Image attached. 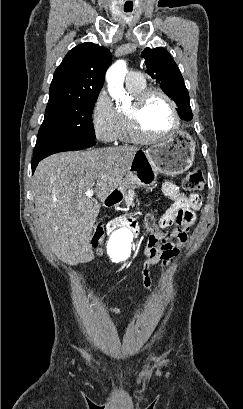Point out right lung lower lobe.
Instances as JSON below:
<instances>
[{
  "label": "right lung lower lobe",
  "instance_id": "right-lung-lower-lobe-1",
  "mask_svg": "<svg viewBox=\"0 0 243 409\" xmlns=\"http://www.w3.org/2000/svg\"><path fill=\"white\" fill-rule=\"evenodd\" d=\"M95 145V139L89 137H78L75 139H50L38 138L34 148V159H32V174L38 162L45 157L63 151L81 150Z\"/></svg>",
  "mask_w": 243,
  "mask_h": 409
}]
</instances>
